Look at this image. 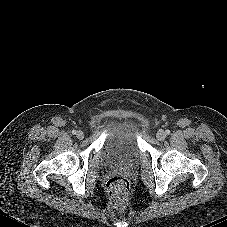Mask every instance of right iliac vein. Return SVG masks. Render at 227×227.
<instances>
[{
	"label": "right iliac vein",
	"mask_w": 227,
	"mask_h": 227,
	"mask_svg": "<svg viewBox=\"0 0 227 227\" xmlns=\"http://www.w3.org/2000/svg\"><path fill=\"white\" fill-rule=\"evenodd\" d=\"M76 136L78 139H83L84 138V132L81 131V130H78L77 133H76Z\"/></svg>",
	"instance_id": "1"
}]
</instances>
